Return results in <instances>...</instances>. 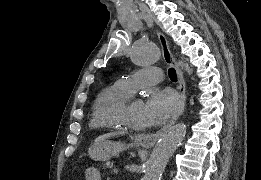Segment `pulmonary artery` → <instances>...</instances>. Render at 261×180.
<instances>
[{"instance_id": "e3ab8cb5", "label": "pulmonary artery", "mask_w": 261, "mask_h": 180, "mask_svg": "<svg viewBox=\"0 0 261 180\" xmlns=\"http://www.w3.org/2000/svg\"><path fill=\"white\" fill-rule=\"evenodd\" d=\"M137 71L122 77L117 84L127 93L135 88L152 89L151 82L159 81L162 78L160 69H142V65Z\"/></svg>"}]
</instances>
